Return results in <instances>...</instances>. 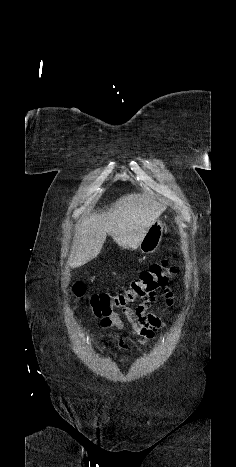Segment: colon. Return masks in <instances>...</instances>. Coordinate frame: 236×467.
Instances as JSON below:
<instances>
[{
    "label": "colon",
    "instance_id": "colon-1",
    "mask_svg": "<svg viewBox=\"0 0 236 467\" xmlns=\"http://www.w3.org/2000/svg\"><path fill=\"white\" fill-rule=\"evenodd\" d=\"M173 272L174 267L171 262L164 259L142 270L138 278L131 281L127 288L119 292L93 294L87 298V301L96 316H109L116 310L123 309L130 303L143 300L156 290L163 288ZM72 294L77 298L84 297V285L81 282H75L72 285Z\"/></svg>",
    "mask_w": 236,
    "mask_h": 467
}]
</instances>
